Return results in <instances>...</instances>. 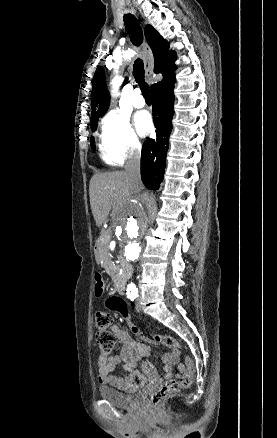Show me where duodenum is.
<instances>
[{
  "label": "duodenum",
  "mask_w": 277,
  "mask_h": 438,
  "mask_svg": "<svg viewBox=\"0 0 277 438\" xmlns=\"http://www.w3.org/2000/svg\"><path fill=\"white\" fill-rule=\"evenodd\" d=\"M95 252L97 254H99V246L98 245L95 246ZM118 265H119L120 272L118 273L117 278H116V289L118 292L124 293L125 292L124 276L127 274L128 270H129V263L124 258L119 257L118 258Z\"/></svg>",
  "instance_id": "410a0bca"
}]
</instances>
